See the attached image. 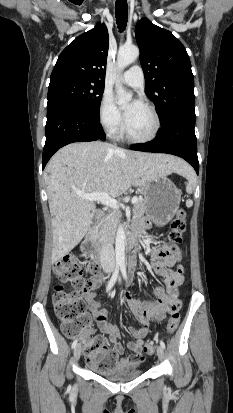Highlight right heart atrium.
Here are the masks:
<instances>
[{"label":"right heart atrium","mask_w":233,"mask_h":413,"mask_svg":"<svg viewBox=\"0 0 233 413\" xmlns=\"http://www.w3.org/2000/svg\"><path fill=\"white\" fill-rule=\"evenodd\" d=\"M98 119L101 126L110 135H119L124 127L123 116L112 96L104 93L98 105Z\"/></svg>","instance_id":"d8ad5b80"}]
</instances>
